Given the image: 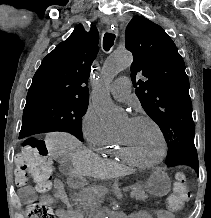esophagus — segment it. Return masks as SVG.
Here are the masks:
<instances>
[{"mask_svg":"<svg viewBox=\"0 0 211 218\" xmlns=\"http://www.w3.org/2000/svg\"><path fill=\"white\" fill-rule=\"evenodd\" d=\"M112 25H113V27H112ZM107 29L109 31H113L114 33H116V35H118V24L117 23H113V24L108 23L107 24Z\"/></svg>","mask_w":211,"mask_h":218,"instance_id":"34e87169","label":"esophagus"}]
</instances>
